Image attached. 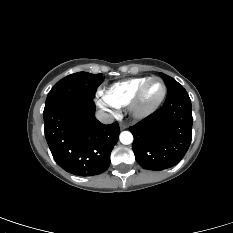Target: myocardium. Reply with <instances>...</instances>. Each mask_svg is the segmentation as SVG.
<instances>
[{
    "instance_id": "obj_1",
    "label": "myocardium",
    "mask_w": 233,
    "mask_h": 233,
    "mask_svg": "<svg viewBox=\"0 0 233 233\" xmlns=\"http://www.w3.org/2000/svg\"><path fill=\"white\" fill-rule=\"evenodd\" d=\"M154 80H158L162 84V94L154 104L150 106H143L142 99H143L145 89L147 88L149 83ZM166 94H167V86L164 80L157 76L149 77L146 81H144L140 85V87L136 91L135 95L133 96L129 104V109L135 117L145 118L151 115L152 113H154L161 106V104L165 100Z\"/></svg>"
}]
</instances>
